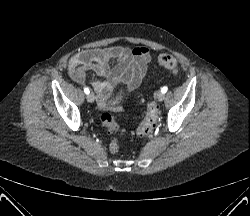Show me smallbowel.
I'll list each match as a JSON object with an SVG mask.
<instances>
[{
    "label": "small bowel",
    "mask_w": 250,
    "mask_h": 216,
    "mask_svg": "<svg viewBox=\"0 0 250 216\" xmlns=\"http://www.w3.org/2000/svg\"><path fill=\"white\" fill-rule=\"evenodd\" d=\"M150 61V51L143 46L133 49L123 46L86 49L70 59L68 74L78 84H85L87 71L103 77L104 81H92L90 86L98 104L104 106L118 85L122 84L130 91L137 89Z\"/></svg>",
    "instance_id": "obj_1"
}]
</instances>
